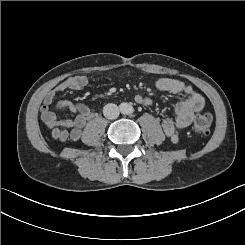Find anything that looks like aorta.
<instances>
[{"instance_id":"obj_1","label":"aorta","mask_w":245,"mask_h":245,"mask_svg":"<svg viewBox=\"0 0 245 245\" xmlns=\"http://www.w3.org/2000/svg\"><path fill=\"white\" fill-rule=\"evenodd\" d=\"M129 110V105L127 103H122L121 104V111L123 113H126Z\"/></svg>"}]
</instances>
